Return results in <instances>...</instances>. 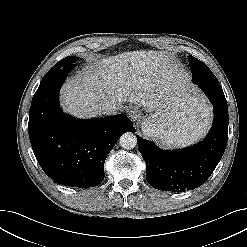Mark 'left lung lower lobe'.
I'll return each instance as SVG.
<instances>
[{
  "label": "left lung lower lobe",
  "mask_w": 247,
  "mask_h": 247,
  "mask_svg": "<svg viewBox=\"0 0 247 247\" xmlns=\"http://www.w3.org/2000/svg\"><path fill=\"white\" fill-rule=\"evenodd\" d=\"M192 71V81L214 106V123L203 141L176 151L159 149L137 135L138 149L146 162V179L156 189L184 192L201 186L221 160L228 139V107L221 85L204 64Z\"/></svg>",
  "instance_id": "left-lung-lower-lobe-1"
}]
</instances>
